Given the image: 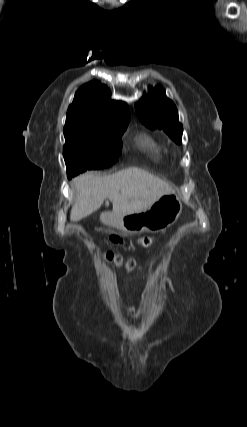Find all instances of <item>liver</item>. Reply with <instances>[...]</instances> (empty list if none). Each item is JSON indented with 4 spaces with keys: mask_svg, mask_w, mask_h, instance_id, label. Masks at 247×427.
Segmentation results:
<instances>
[{
    "mask_svg": "<svg viewBox=\"0 0 247 427\" xmlns=\"http://www.w3.org/2000/svg\"><path fill=\"white\" fill-rule=\"evenodd\" d=\"M73 187L76 197L70 219L75 222L98 210L105 199L112 202L114 213L123 216L142 212L173 192L168 183L138 167L107 176L86 172L73 180Z\"/></svg>",
    "mask_w": 247,
    "mask_h": 427,
    "instance_id": "1",
    "label": "liver"
}]
</instances>
